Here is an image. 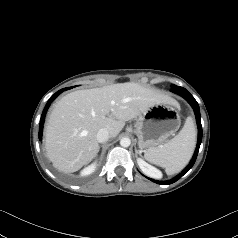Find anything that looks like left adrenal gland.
Segmentation results:
<instances>
[{"mask_svg":"<svg viewBox=\"0 0 238 238\" xmlns=\"http://www.w3.org/2000/svg\"><path fill=\"white\" fill-rule=\"evenodd\" d=\"M135 153L141 156V152L139 150L135 149Z\"/></svg>","mask_w":238,"mask_h":238,"instance_id":"obj_1","label":"left adrenal gland"}]
</instances>
